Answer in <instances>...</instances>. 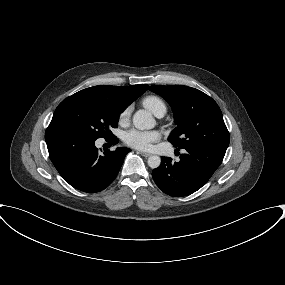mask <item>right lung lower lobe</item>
<instances>
[{"label": "right lung lower lobe", "mask_w": 285, "mask_h": 285, "mask_svg": "<svg viewBox=\"0 0 285 285\" xmlns=\"http://www.w3.org/2000/svg\"><path fill=\"white\" fill-rule=\"evenodd\" d=\"M45 140L49 157L62 178L74 188L88 193L108 187L131 151L122 147L101 154L95 147L96 139L58 121L50 122ZM112 141L118 143L116 137Z\"/></svg>", "instance_id": "right-lung-lower-lobe-1"}]
</instances>
